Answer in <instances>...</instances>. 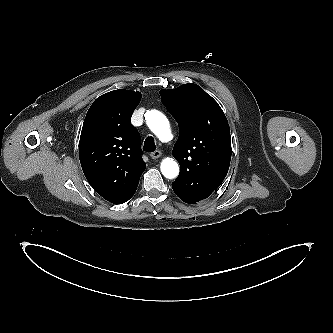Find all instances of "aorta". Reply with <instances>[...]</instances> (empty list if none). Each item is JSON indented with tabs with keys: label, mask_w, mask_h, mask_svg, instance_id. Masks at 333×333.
Instances as JSON below:
<instances>
[{
	"label": "aorta",
	"mask_w": 333,
	"mask_h": 333,
	"mask_svg": "<svg viewBox=\"0 0 333 333\" xmlns=\"http://www.w3.org/2000/svg\"><path fill=\"white\" fill-rule=\"evenodd\" d=\"M146 122L150 130L162 141L170 137V125L166 116L159 111H149ZM161 172L164 177L172 179L179 174V166L172 158H166L161 163Z\"/></svg>",
	"instance_id": "762f6f07"
}]
</instances>
